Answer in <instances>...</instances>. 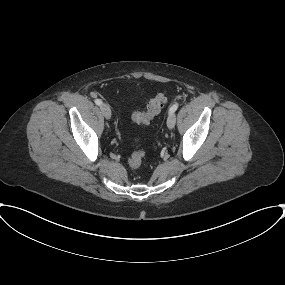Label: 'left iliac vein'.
Segmentation results:
<instances>
[{
  "instance_id": "obj_1",
  "label": "left iliac vein",
  "mask_w": 285,
  "mask_h": 285,
  "mask_svg": "<svg viewBox=\"0 0 285 285\" xmlns=\"http://www.w3.org/2000/svg\"><path fill=\"white\" fill-rule=\"evenodd\" d=\"M176 123V115L175 113H169L167 118V126L169 129H173Z\"/></svg>"
}]
</instances>
